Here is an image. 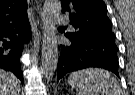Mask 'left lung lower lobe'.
<instances>
[{"instance_id": "obj_1", "label": "left lung lower lobe", "mask_w": 135, "mask_h": 95, "mask_svg": "<svg viewBox=\"0 0 135 95\" xmlns=\"http://www.w3.org/2000/svg\"><path fill=\"white\" fill-rule=\"evenodd\" d=\"M67 45H61L57 65V81L68 72L89 67L104 68L119 77L115 37L106 35L69 36Z\"/></svg>"}]
</instances>
